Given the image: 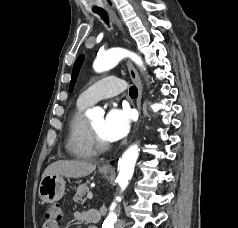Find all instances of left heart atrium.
I'll use <instances>...</instances> for the list:
<instances>
[{"mask_svg":"<svg viewBox=\"0 0 238 228\" xmlns=\"http://www.w3.org/2000/svg\"><path fill=\"white\" fill-rule=\"evenodd\" d=\"M130 126L131 114L129 110L111 108L104 119V138L106 141L116 142L128 134Z\"/></svg>","mask_w":238,"mask_h":228,"instance_id":"1","label":"left heart atrium"}]
</instances>
